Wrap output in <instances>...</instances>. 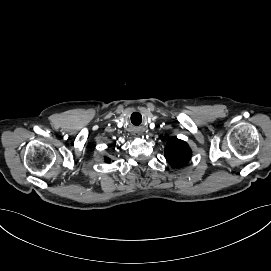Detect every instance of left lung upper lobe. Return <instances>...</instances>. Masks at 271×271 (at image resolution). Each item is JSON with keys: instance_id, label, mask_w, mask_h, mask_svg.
I'll use <instances>...</instances> for the list:
<instances>
[{"instance_id": "1", "label": "left lung upper lobe", "mask_w": 271, "mask_h": 271, "mask_svg": "<svg viewBox=\"0 0 271 271\" xmlns=\"http://www.w3.org/2000/svg\"><path fill=\"white\" fill-rule=\"evenodd\" d=\"M192 156V151L189 145L178 139L171 137L165 147V158L168 163L175 168H182L188 164Z\"/></svg>"}]
</instances>
